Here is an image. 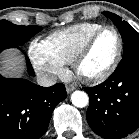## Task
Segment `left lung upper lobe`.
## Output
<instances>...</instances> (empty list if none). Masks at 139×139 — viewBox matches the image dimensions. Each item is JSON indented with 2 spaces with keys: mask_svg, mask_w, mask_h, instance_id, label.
Instances as JSON below:
<instances>
[{
  "mask_svg": "<svg viewBox=\"0 0 139 139\" xmlns=\"http://www.w3.org/2000/svg\"><path fill=\"white\" fill-rule=\"evenodd\" d=\"M117 26L124 41V54L139 47V34L121 17L110 12H103Z\"/></svg>",
  "mask_w": 139,
  "mask_h": 139,
  "instance_id": "1",
  "label": "left lung upper lobe"
}]
</instances>
